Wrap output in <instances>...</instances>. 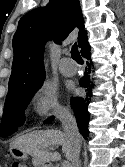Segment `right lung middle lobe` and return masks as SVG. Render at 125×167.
<instances>
[{"instance_id":"obj_1","label":"right lung middle lobe","mask_w":125,"mask_h":167,"mask_svg":"<svg viewBox=\"0 0 125 167\" xmlns=\"http://www.w3.org/2000/svg\"><path fill=\"white\" fill-rule=\"evenodd\" d=\"M41 86L42 85L15 97L6 98L0 125L1 137L11 135L17 131L19 126L23 125L25 121L24 110L27 108L30 100Z\"/></svg>"}]
</instances>
